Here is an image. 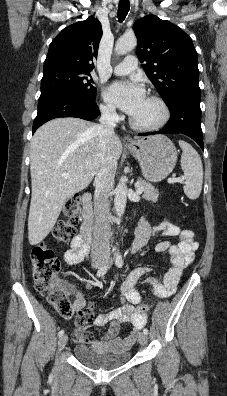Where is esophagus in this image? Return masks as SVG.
Segmentation results:
<instances>
[{"label": "esophagus", "mask_w": 227, "mask_h": 396, "mask_svg": "<svg viewBox=\"0 0 227 396\" xmlns=\"http://www.w3.org/2000/svg\"><path fill=\"white\" fill-rule=\"evenodd\" d=\"M123 143L125 144V145H132L133 143H134V140L130 137V136H125L124 138H123Z\"/></svg>", "instance_id": "obj_1"}]
</instances>
